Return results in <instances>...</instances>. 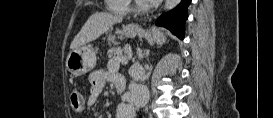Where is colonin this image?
Masks as SVG:
<instances>
[{
  "label": "colon",
  "instance_id": "5ec220e1",
  "mask_svg": "<svg viewBox=\"0 0 273 118\" xmlns=\"http://www.w3.org/2000/svg\"><path fill=\"white\" fill-rule=\"evenodd\" d=\"M71 108L75 112H81L84 108V96L79 89H73L70 94Z\"/></svg>",
  "mask_w": 273,
  "mask_h": 118
}]
</instances>
